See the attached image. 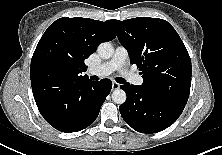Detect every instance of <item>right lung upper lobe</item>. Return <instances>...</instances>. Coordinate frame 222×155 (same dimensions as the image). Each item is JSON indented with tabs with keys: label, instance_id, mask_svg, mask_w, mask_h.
Returning a JSON list of instances; mask_svg holds the SVG:
<instances>
[{
	"label": "right lung upper lobe",
	"instance_id": "1",
	"mask_svg": "<svg viewBox=\"0 0 222 155\" xmlns=\"http://www.w3.org/2000/svg\"><path fill=\"white\" fill-rule=\"evenodd\" d=\"M116 37L112 20L62 17L41 37L31 60L32 90L46 86L65 87L86 79L84 60L102 42Z\"/></svg>",
	"mask_w": 222,
	"mask_h": 155
}]
</instances>
